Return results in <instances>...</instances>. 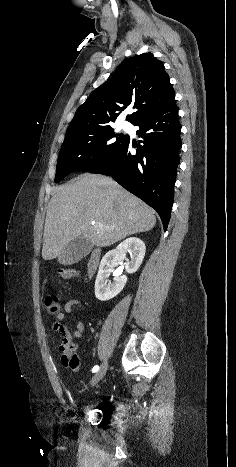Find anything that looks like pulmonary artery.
<instances>
[{
  "label": "pulmonary artery",
  "mask_w": 236,
  "mask_h": 467,
  "mask_svg": "<svg viewBox=\"0 0 236 467\" xmlns=\"http://www.w3.org/2000/svg\"><path fill=\"white\" fill-rule=\"evenodd\" d=\"M123 127H124V128L127 127V123H126V122L123 123Z\"/></svg>",
  "instance_id": "e3ab8cb5"
}]
</instances>
